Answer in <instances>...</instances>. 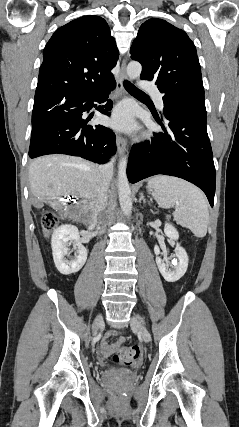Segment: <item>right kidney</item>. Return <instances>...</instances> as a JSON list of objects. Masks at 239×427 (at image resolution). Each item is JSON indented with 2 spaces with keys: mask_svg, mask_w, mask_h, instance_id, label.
<instances>
[{
  "mask_svg": "<svg viewBox=\"0 0 239 427\" xmlns=\"http://www.w3.org/2000/svg\"><path fill=\"white\" fill-rule=\"evenodd\" d=\"M73 245L77 255L68 261L64 256L68 255V246ZM53 260L58 271L63 275L78 272L87 260V249L81 244L78 228L74 225H62L58 227L51 239Z\"/></svg>",
  "mask_w": 239,
  "mask_h": 427,
  "instance_id": "1",
  "label": "right kidney"
}]
</instances>
